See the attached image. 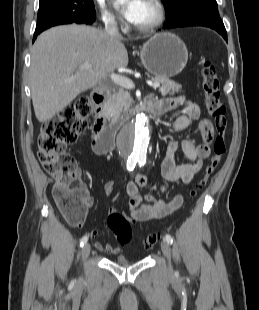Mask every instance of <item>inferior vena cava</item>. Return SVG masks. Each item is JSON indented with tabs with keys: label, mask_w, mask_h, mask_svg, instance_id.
Instances as JSON below:
<instances>
[{
	"label": "inferior vena cava",
	"mask_w": 259,
	"mask_h": 310,
	"mask_svg": "<svg viewBox=\"0 0 259 310\" xmlns=\"http://www.w3.org/2000/svg\"><path fill=\"white\" fill-rule=\"evenodd\" d=\"M105 32L108 36L111 37V39H119L121 38V35L119 33V30L117 28V24L114 19H108L105 22Z\"/></svg>",
	"instance_id": "1"
}]
</instances>
